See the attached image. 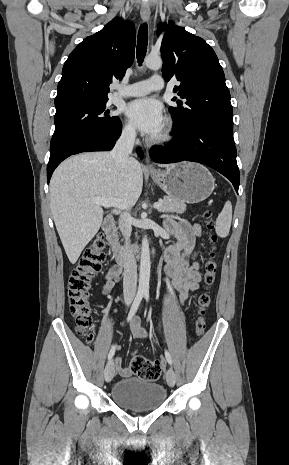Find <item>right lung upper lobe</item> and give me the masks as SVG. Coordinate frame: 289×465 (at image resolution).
Listing matches in <instances>:
<instances>
[{
  "instance_id": "obj_1",
  "label": "right lung upper lobe",
  "mask_w": 289,
  "mask_h": 465,
  "mask_svg": "<svg viewBox=\"0 0 289 465\" xmlns=\"http://www.w3.org/2000/svg\"><path fill=\"white\" fill-rule=\"evenodd\" d=\"M135 29L115 18L85 38L66 60L55 105L76 100L108 99L112 79L121 80L134 60Z\"/></svg>"
}]
</instances>
